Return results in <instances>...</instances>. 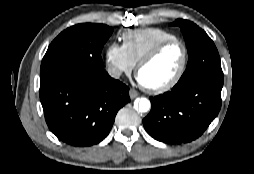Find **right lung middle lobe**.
Segmentation results:
<instances>
[{
	"label": "right lung middle lobe",
	"mask_w": 254,
	"mask_h": 174,
	"mask_svg": "<svg viewBox=\"0 0 254 174\" xmlns=\"http://www.w3.org/2000/svg\"><path fill=\"white\" fill-rule=\"evenodd\" d=\"M113 28L82 23L67 28L50 44L40 69V87L60 79L103 71L101 51Z\"/></svg>",
	"instance_id": "1"
}]
</instances>
